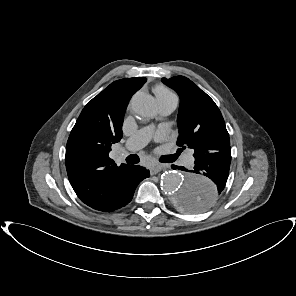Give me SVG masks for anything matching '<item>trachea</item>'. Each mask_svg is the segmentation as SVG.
I'll return each instance as SVG.
<instances>
[{
    "instance_id": "trachea-1",
    "label": "trachea",
    "mask_w": 296,
    "mask_h": 296,
    "mask_svg": "<svg viewBox=\"0 0 296 296\" xmlns=\"http://www.w3.org/2000/svg\"><path fill=\"white\" fill-rule=\"evenodd\" d=\"M140 161L139 159V156L136 155V154H132V155H129L127 158H126V162L129 163V164H136Z\"/></svg>"
}]
</instances>
